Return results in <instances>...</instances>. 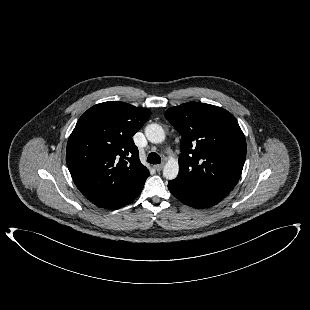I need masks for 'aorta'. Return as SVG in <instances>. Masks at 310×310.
Returning a JSON list of instances; mask_svg holds the SVG:
<instances>
[{
	"mask_svg": "<svg viewBox=\"0 0 310 310\" xmlns=\"http://www.w3.org/2000/svg\"><path fill=\"white\" fill-rule=\"evenodd\" d=\"M145 135L151 143H162L165 140L164 129L158 124H149L145 127ZM179 165L176 159L170 158L163 168V176L168 180L177 177Z\"/></svg>",
	"mask_w": 310,
	"mask_h": 310,
	"instance_id": "1",
	"label": "aorta"
}]
</instances>
